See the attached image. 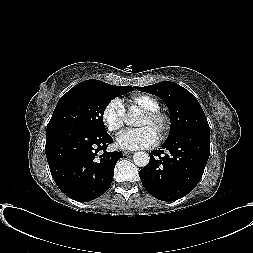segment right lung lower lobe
Listing matches in <instances>:
<instances>
[{
  "label": "right lung lower lobe",
  "instance_id": "98d812e1",
  "mask_svg": "<svg viewBox=\"0 0 253 253\" xmlns=\"http://www.w3.org/2000/svg\"><path fill=\"white\" fill-rule=\"evenodd\" d=\"M113 139L106 132L62 128L46 135L45 152L51 175L70 198L87 202L110 187L122 152H107Z\"/></svg>",
  "mask_w": 253,
  "mask_h": 253
}]
</instances>
